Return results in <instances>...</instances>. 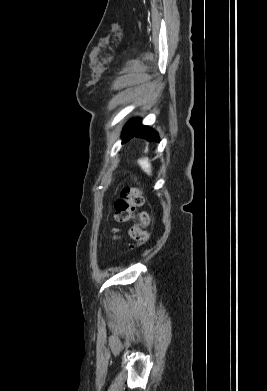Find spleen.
Returning <instances> with one entry per match:
<instances>
[{
    "label": "spleen",
    "mask_w": 267,
    "mask_h": 391,
    "mask_svg": "<svg viewBox=\"0 0 267 391\" xmlns=\"http://www.w3.org/2000/svg\"><path fill=\"white\" fill-rule=\"evenodd\" d=\"M138 164L140 165L141 169L148 175L152 174V167L151 164L148 161V158H141L138 159Z\"/></svg>",
    "instance_id": "obj_1"
}]
</instances>
